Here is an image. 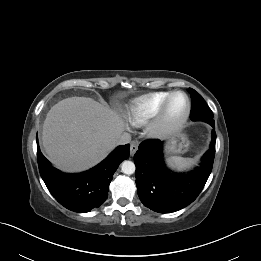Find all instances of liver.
Returning <instances> with one entry per match:
<instances>
[{
  "label": "liver",
  "instance_id": "liver-1",
  "mask_svg": "<svg viewBox=\"0 0 261 261\" xmlns=\"http://www.w3.org/2000/svg\"><path fill=\"white\" fill-rule=\"evenodd\" d=\"M124 127L122 118L108 107L91 98L70 97L47 113L42 143L56 167L68 172L83 171L116 147Z\"/></svg>",
  "mask_w": 261,
  "mask_h": 261
}]
</instances>
